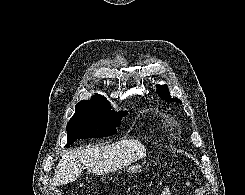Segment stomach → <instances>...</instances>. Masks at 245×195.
Returning <instances> with one entry per match:
<instances>
[{
  "label": "stomach",
  "instance_id": "1",
  "mask_svg": "<svg viewBox=\"0 0 245 195\" xmlns=\"http://www.w3.org/2000/svg\"><path fill=\"white\" fill-rule=\"evenodd\" d=\"M129 173H135V172H141L142 171V165L140 164H134L126 169Z\"/></svg>",
  "mask_w": 245,
  "mask_h": 195
}]
</instances>
